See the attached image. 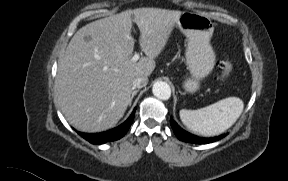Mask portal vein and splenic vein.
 Here are the masks:
<instances>
[{"label": "portal vein and splenic vein", "mask_w": 288, "mask_h": 181, "mask_svg": "<svg viewBox=\"0 0 288 181\" xmlns=\"http://www.w3.org/2000/svg\"><path fill=\"white\" fill-rule=\"evenodd\" d=\"M140 58V55L138 53H135L134 56L131 58V62H136Z\"/></svg>", "instance_id": "1"}]
</instances>
